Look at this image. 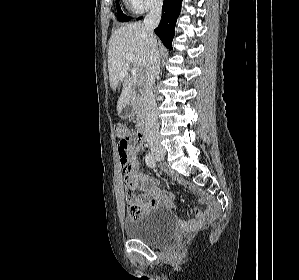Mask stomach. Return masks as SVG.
Here are the masks:
<instances>
[{
  "instance_id": "obj_1",
  "label": "stomach",
  "mask_w": 299,
  "mask_h": 280,
  "mask_svg": "<svg viewBox=\"0 0 299 280\" xmlns=\"http://www.w3.org/2000/svg\"><path fill=\"white\" fill-rule=\"evenodd\" d=\"M121 113L122 117L127 118L133 114V109L128 105Z\"/></svg>"
}]
</instances>
